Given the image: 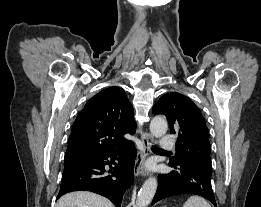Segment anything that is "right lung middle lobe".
I'll use <instances>...</instances> for the list:
<instances>
[{
	"label": "right lung middle lobe",
	"mask_w": 261,
	"mask_h": 207,
	"mask_svg": "<svg viewBox=\"0 0 261 207\" xmlns=\"http://www.w3.org/2000/svg\"><path fill=\"white\" fill-rule=\"evenodd\" d=\"M84 161V160H83ZM80 162V161H78ZM73 163H77V162H72V163H64V165H68V164H73Z\"/></svg>",
	"instance_id": "dd1d6c3e"
}]
</instances>
